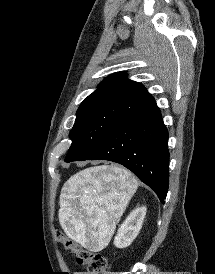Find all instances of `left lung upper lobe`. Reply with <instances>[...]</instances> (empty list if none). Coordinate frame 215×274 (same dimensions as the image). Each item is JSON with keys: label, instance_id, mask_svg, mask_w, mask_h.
<instances>
[{"label": "left lung upper lobe", "instance_id": "left-lung-upper-lobe-1", "mask_svg": "<svg viewBox=\"0 0 215 274\" xmlns=\"http://www.w3.org/2000/svg\"><path fill=\"white\" fill-rule=\"evenodd\" d=\"M154 102L144 86L126 74L110 75L79 106L65 161L83 158L123 121Z\"/></svg>", "mask_w": 215, "mask_h": 274}]
</instances>
